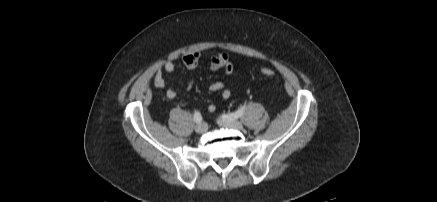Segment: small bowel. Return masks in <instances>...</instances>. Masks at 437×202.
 I'll use <instances>...</instances> for the list:
<instances>
[{
    "instance_id": "small-bowel-1",
    "label": "small bowel",
    "mask_w": 437,
    "mask_h": 202,
    "mask_svg": "<svg viewBox=\"0 0 437 202\" xmlns=\"http://www.w3.org/2000/svg\"><path fill=\"white\" fill-rule=\"evenodd\" d=\"M200 60V55L197 52H191L186 54L183 57V63L188 69H195L198 66ZM175 64L172 61L166 62L155 74L154 84L156 87L160 89H166V96L170 100L177 99V93L174 88L167 87L166 81L163 78V72L171 74L175 70ZM209 68L211 70H223L226 74H232L234 67L232 62L229 59V56L226 53H218L212 56L209 60ZM193 81H190L187 85V90H191L193 88ZM209 91L211 92H221V97L224 100H227L231 96L230 90L225 86V84L221 81L214 80L208 86ZM180 105H184L183 102H179ZM216 110V106L214 104H210L208 106L209 112H214Z\"/></svg>"
}]
</instances>
